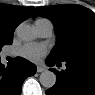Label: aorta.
<instances>
[{
    "mask_svg": "<svg viewBox=\"0 0 95 95\" xmlns=\"http://www.w3.org/2000/svg\"><path fill=\"white\" fill-rule=\"evenodd\" d=\"M17 36L24 41H31L36 38V32L30 25H20L16 29ZM39 81L41 85L47 89L52 88L56 83V75L45 70L40 74Z\"/></svg>",
    "mask_w": 95,
    "mask_h": 95,
    "instance_id": "762f6f07",
    "label": "aorta"
}]
</instances>
